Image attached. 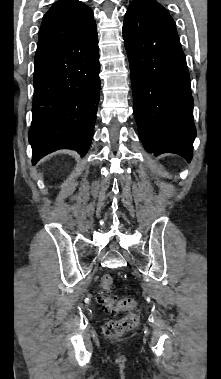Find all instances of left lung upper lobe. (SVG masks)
Wrapping results in <instances>:
<instances>
[{
	"instance_id": "5c2ea615",
	"label": "left lung upper lobe",
	"mask_w": 221,
	"mask_h": 379,
	"mask_svg": "<svg viewBox=\"0 0 221 379\" xmlns=\"http://www.w3.org/2000/svg\"><path fill=\"white\" fill-rule=\"evenodd\" d=\"M134 1L143 2L169 15L168 11L162 5L157 3L155 0H134Z\"/></svg>"
}]
</instances>
